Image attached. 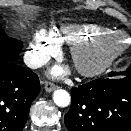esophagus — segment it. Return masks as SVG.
Returning <instances> with one entry per match:
<instances>
[{
	"instance_id": "1",
	"label": "esophagus",
	"mask_w": 131,
	"mask_h": 131,
	"mask_svg": "<svg viewBox=\"0 0 131 131\" xmlns=\"http://www.w3.org/2000/svg\"><path fill=\"white\" fill-rule=\"evenodd\" d=\"M44 88L47 92H52L57 88V86L51 82H46Z\"/></svg>"
}]
</instances>
